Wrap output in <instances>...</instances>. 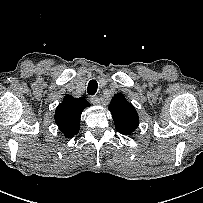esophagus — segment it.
I'll use <instances>...</instances> for the list:
<instances>
[{
    "label": "esophagus",
    "instance_id": "34e87169",
    "mask_svg": "<svg viewBox=\"0 0 203 203\" xmlns=\"http://www.w3.org/2000/svg\"><path fill=\"white\" fill-rule=\"evenodd\" d=\"M90 102L94 105H99L100 104V99L97 96H91L90 97Z\"/></svg>",
    "mask_w": 203,
    "mask_h": 203
}]
</instances>
